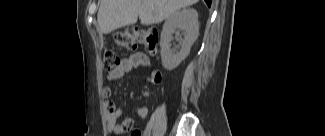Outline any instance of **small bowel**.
Listing matches in <instances>:
<instances>
[{"label": "small bowel", "instance_id": "obj_1", "mask_svg": "<svg viewBox=\"0 0 325 136\" xmlns=\"http://www.w3.org/2000/svg\"><path fill=\"white\" fill-rule=\"evenodd\" d=\"M151 66L150 57L143 52H135L127 58L120 60L119 65L110 71L107 75L109 81H116L122 78L125 74L129 73L133 69L144 67L149 68ZM162 75L159 71L153 70L149 74L147 81L152 85H157L161 82ZM105 95L110 96L111 91L109 89L104 91ZM106 110V123L109 132L114 134H121L128 132L133 127V121L130 118L120 120L122 110L118 108L113 102L108 101L105 103ZM137 116L144 118L147 115V108L144 106H138L135 109Z\"/></svg>", "mask_w": 325, "mask_h": 136}]
</instances>
